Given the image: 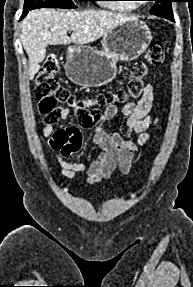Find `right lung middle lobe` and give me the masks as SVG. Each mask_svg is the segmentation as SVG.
Returning a JSON list of instances; mask_svg holds the SVG:
<instances>
[{
  "mask_svg": "<svg viewBox=\"0 0 193 287\" xmlns=\"http://www.w3.org/2000/svg\"><path fill=\"white\" fill-rule=\"evenodd\" d=\"M78 1H93V0H78ZM77 6L72 0H25L24 10H32L36 8H64L71 9Z\"/></svg>",
  "mask_w": 193,
  "mask_h": 287,
  "instance_id": "1",
  "label": "right lung middle lobe"
}]
</instances>
